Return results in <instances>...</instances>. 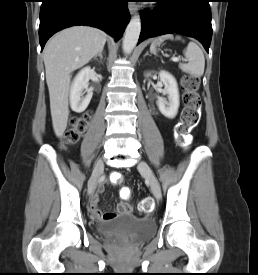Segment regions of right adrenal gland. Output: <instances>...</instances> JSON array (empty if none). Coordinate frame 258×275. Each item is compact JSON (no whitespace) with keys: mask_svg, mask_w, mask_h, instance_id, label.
Returning a JSON list of instances; mask_svg holds the SVG:
<instances>
[{"mask_svg":"<svg viewBox=\"0 0 258 275\" xmlns=\"http://www.w3.org/2000/svg\"><path fill=\"white\" fill-rule=\"evenodd\" d=\"M102 53H103V51H100V52L98 53V55H96V56L94 57V59H97V58L99 57L100 60L102 61V59H103Z\"/></svg>","mask_w":258,"mask_h":275,"instance_id":"2a0ac1e0","label":"right adrenal gland"}]
</instances>
